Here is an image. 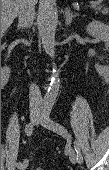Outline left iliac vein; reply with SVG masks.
<instances>
[{"label": "left iliac vein", "instance_id": "obj_1", "mask_svg": "<svg viewBox=\"0 0 109 170\" xmlns=\"http://www.w3.org/2000/svg\"><path fill=\"white\" fill-rule=\"evenodd\" d=\"M42 126L58 133L62 137H64L69 142V133L67 129L61 125L60 123L56 122L55 120L51 119L49 115L45 112H42L37 120ZM69 159L73 164L79 163L77 159V155L73 149L69 151ZM81 164V163H79Z\"/></svg>", "mask_w": 109, "mask_h": 170}]
</instances>
